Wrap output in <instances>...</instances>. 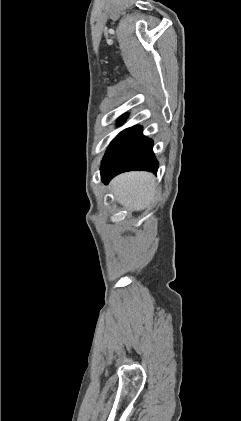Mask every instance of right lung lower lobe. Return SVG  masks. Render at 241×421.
Here are the masks:
<instances>
[{"label":"right lung lower lobe","mask_w":241,"mask_h":421,"mask_svg":"<svg viewBox=\"0 0 241 421\" xmlns=\"http://www.w3.org/2000/svg\"><path fill=\"white\" fill-rule=\"evenodd\" d=\"M153 141L142 134V128L134 126L122 131L111 143L103 157L101 178L105 184L115 175L130 170L157 172L158 161Z\"/></svg>","instance_id":"obj_1"}]
</instances>
